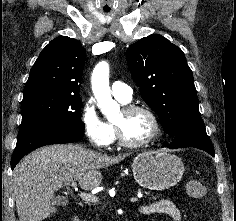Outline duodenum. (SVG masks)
Returning <instances> with one entry per match:
<instances>
[{"label":"duodenum","mask_w":236,"mask_h":221,"mask_svg":"<svg viewBox=\"0 0 236 221\" xmlns=\"http://www.w3.org/2000/svg\"><path fill=\"white\" fill-rule=\"evenodd\" d=\"M71 221H80V218L77 213L72 214ZM131 221H134V220H131Z\"/></svg>","instance_id":"obj_1"}]
</instances>
